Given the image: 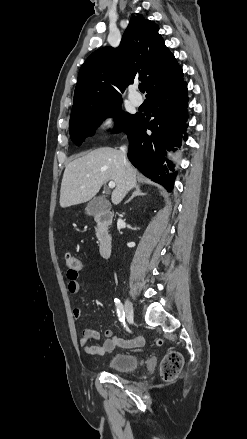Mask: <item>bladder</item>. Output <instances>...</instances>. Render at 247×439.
Masks as SVG:
<instances>
[{
	"label": "bladder",
	"instance_id": "bladder-1",
	"mask_svg": "<svg viewBox=\"0 0 247 439\" xmlns=\"http://www.w3.org/2000/svg\"><path fill=\"white\" fill-rule=\"evenodd\" d=\"M139 365V358L132 353H117L107 361V368L115 372H130Z\"/></svg>",
	"mask_w": 247,
	"mask_h": 439
}]
</instances>
